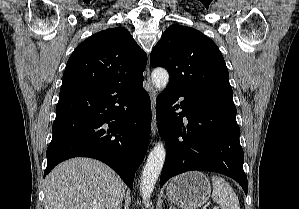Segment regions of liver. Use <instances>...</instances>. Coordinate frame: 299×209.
<instances>
[{
    "label": "liver",
    "instance_id": "liver-1",
    "mask_svg": "<svg viewBox=\"0 0 299 209\" xmlns=\"http://www.w3.org/2000/svg\"><path fill=\"white\" fill-rule=\"evenodd\" d=\"M44 192L45 209H118L125 184L102 162L73 158L48 174Z\"/></svg>",
    "mask_w": 299,
    "mask_h": 209
}]
</instances>
